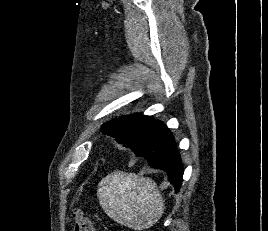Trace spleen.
I'll return each mask as SVG.
<instances>
[{
	"instance_id": "3e777b00",
	"label": "spleen",
	"mask_w": 268,
	"mask_h": 231,
	"mask_svg": "<svg viewBox=\"0 0 268 231\" xmlns=\"http://www.w3.org/2000/svg\"><path fill=\"white\" fill-rule=\"evenodd\" d=\"M97 197L111 219L129 228H149L164 212L157 184L131 173L108 174L98 185Z\"/></svg>"
}]
</instances>
